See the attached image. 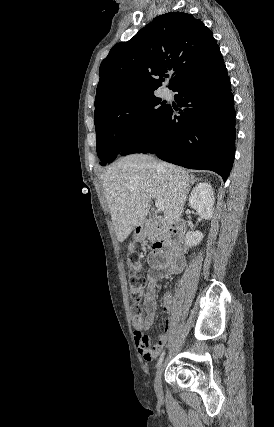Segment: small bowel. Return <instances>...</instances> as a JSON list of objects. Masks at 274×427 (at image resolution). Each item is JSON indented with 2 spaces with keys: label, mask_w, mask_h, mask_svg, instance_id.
Listing matches in <instances>:
<instances>
[{
  "label": "small bowel",
  "mask_w": 274,
  "mask_h": 427,
  "mask_svg": "<svg viewBox=\"0 0 274 427\" xmlns=\"http://www.w3.org/2000/svg\"><path fill=\"white\" fill-rule=\"evenodd\" d=\"M186 258L182 249H177L174 243H169L165 249L153 250L149 256L148 286L146 288L142 308L144 320L136 325L134 338L140 355L144 360L156 359L163 350L168 332L172 327V321L167 319L164 322V333L159 335L153 345H150L148 337L143 333L154 322L157 314V304L155 297V286L158 280L181 273L186 267ZM173 300L170 293L163 296V309L169 312L172 308Z\"/></svg>",
  "instance_id": "c3829d8e"
}]
</instances>
